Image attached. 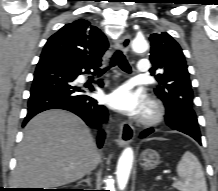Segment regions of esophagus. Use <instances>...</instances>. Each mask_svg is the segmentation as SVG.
Returning <instances> with one entry per match:
<instances>
[{
    "mask_svg": "<svg viewBox=\"0 0 218 191\" xmlns=\"http://www.w3.org/2000/svg\"><path fill=\"white\" fill-rule=\"evenodd\" d=\"M116 44H117V47L121 51H123L124 53H127L130 49L131 38L129 35H123L122 37H120L118 39ZM134 136H135L134 127L126 121L121 122L119 138L117 141L119 147H124V146L128 145L129 143H131Z\"/></svg>",
    "mask_w": 218,
    "mask_h": 191,
    "instance_id": "esophagus-1",
    "label": "esophagus"
}]
</instances>
